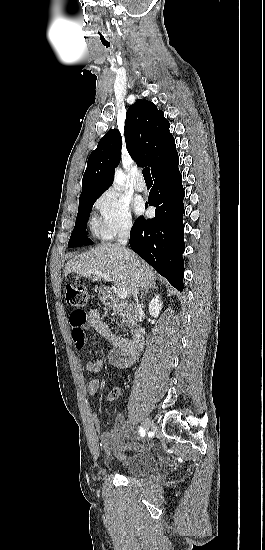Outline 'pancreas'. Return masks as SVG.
<instances>
[{"instance_id":"cf45deb5","label":"pancreas","mask_w":265,"mask_h":550,"mask_svg":"<svg viewBox=\"0 0 265 550\" xmlns=\"http://www.w3.org/2000/svg\"><path fill=\"white\" fill-rule=\"evenodd\" d=\"M114 315L117 316L121 326H133L136 321V311L127 303L120 302L113 306Z\"/></svg>"}]
</instances>
